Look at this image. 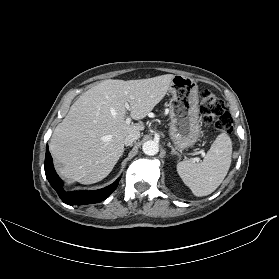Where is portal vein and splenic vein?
Wrapping results in <instances>:
<instances>
[{"label":"portal vein and splenic vein","instance_id":"18ae733b","mask_svg":"<svg viewBox=\"0 0 279 279\" xmlns=\"http://www.w3.org/2000/svg\"><path fill=\"white\" fill-rule=\"evenodd\" d=\"M125 107L127 108V110H129V109H130V107H129V104H128V103H125ZM125 122H126L127 124H130V123H131V118H130V117H128V118L125 120Z\"/></svg>","mask_w":279,"mask_h":279}]
</instances>
